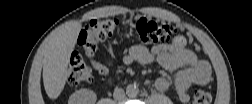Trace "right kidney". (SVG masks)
Wrapping results in <instances>:
<instances>
[{"label":"right kidney","mask_w":252,"mask_h":104,"mask_svg":"<svg viewBox=\"0 0 252 104\" xmlns=\"http://www.w3.org/2000/svg\"><path fill=\"white\" fill-rule=\"evenodd\" d=\"M96 94L88 89H81L74 92L70 98V104H94L96 102Z\"/></svg>","instance_id":"1"}]
</instances>
